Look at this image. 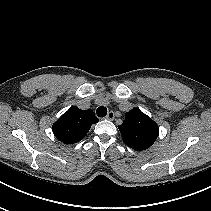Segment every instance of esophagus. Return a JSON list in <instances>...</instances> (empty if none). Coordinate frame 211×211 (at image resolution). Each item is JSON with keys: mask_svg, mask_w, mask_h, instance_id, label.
<instances>
[{"mask_svg": "<svg viewBox=\"0 0 211 211\" xmlns=\"http://www.w3.org/2000/svg\"><path fill=\"white\" fill-rule=\"evenodd\" d=\"M108 120H114L115 114L113 111L108 112L107 116L105 117Z\"/></svg>", "mask_w": 211, "mask_h": 211, "instance_id": "34e87169", "label": "esophagus"}]
</instances>
